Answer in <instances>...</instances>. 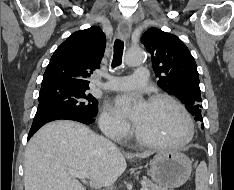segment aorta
<instances>
[{
    "label": "aorta",
    "mask_w": 234,
    "mask_h": 190,
    "mask_svg": "<svg viewBox=\"0 0 234 190\" xmlns=\"http://www.w3.org/2000/svg\"><path fill=\"white\" fill-rule=\"evenodd\" d=\"M145 60V52L141 48H132L128 50L125 58L126 65L133 67L140 65Z\"/></svg>",
    "instance_id": "762f6f07"
}]
</instances>
